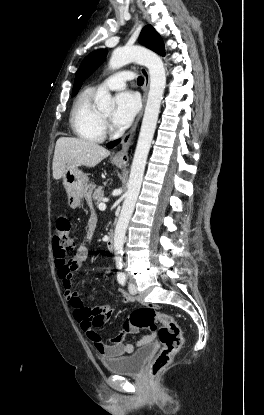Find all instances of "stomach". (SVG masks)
I'll return each instance as SVG.
<instances>
[{
	"label": "stomach",
	"instance_id": "1",
	"mask_svg": "<svg viewBox=\"0 0 264 415\" xmlns=\"http://www.w3.org/2000/svg\"><path fill=\"white\" fill-rule=\"evenodd\" d=\"M112 163L117 167H122L119 162L112 161ZM63 185L66 190L68 205L72 209L78 208L84 197L89 199L94 189V185L87 182L86 176L76 165H67L63 174Z\"/></svg>",
	"mask_w": 264,
	"mask_h": 415
}]
</instances>
